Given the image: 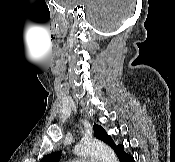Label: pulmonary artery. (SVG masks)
<instances>
[{
	"label": "pulmonary artery",
	"mask_w": 175,
	"mask_h": 162,
	"mask_svg": "<svg viewBox=\"0 0 175 162\" xmlns=\"http://www.w3.org/2000/svg\"><path fill=\"white\" fill-rule=\"evenodd\" d=\"M70 162H97V160L91 158H84V159H75Z\"/></svg>",
	"instance_id": "e3ab8cb5"
}]
</instances>
